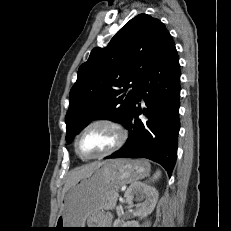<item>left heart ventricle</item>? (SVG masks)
Here are the masks:
<instances>
[{"mask_svg":"<svg viewBox=\"0 0 231 231\" xmlns=\"http://www.w3.org/2000/svg\"><path fill=\"white\" fill-rule=\"evenodd\" d=\"M116 141V131L108 125L99 124L88 128L81 135L78 147L84 156H93L108 150Z\"/></svg>","mask_w":231,"mask_h":231,"instance_id":"left-heart-ventricle-1","label":"left heart ventricle"}]
</instances>
